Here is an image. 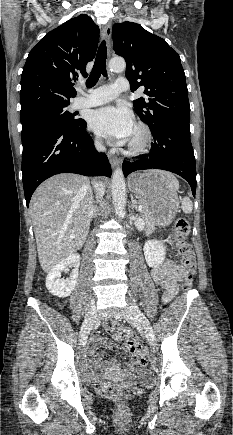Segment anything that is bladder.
Returning <instances> with one entry per match:
<instances>
[{"mask_svg":"<svg viewBox=\"0 0 233 435\" xmlns=\"http://www.w3.org/2000/svg\"><path fill=\"white\" fill-rule=\"evenodd\" d=\"M88 383L92 384V383H95V381H88Z\"/></svg>","mask_w":233,"mask_h":435,"instance_id":"bladder-1","label":"bladder"}]
</instances>
